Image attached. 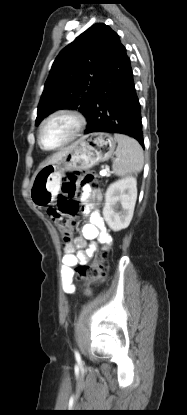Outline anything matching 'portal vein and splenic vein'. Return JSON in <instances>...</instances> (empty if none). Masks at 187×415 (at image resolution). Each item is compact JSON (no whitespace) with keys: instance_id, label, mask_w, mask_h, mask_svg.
<instances>
[{"instance_id":"portal-vein-and-splenic-vein-1","label":"portal vein and splenic vein","mask_w":187,"mask_h":415,"mask_svg":"<svg viewBox=\"0 0 187 415\" xmlns=\"http://www.w3.org/2000/svg\"><path fill=\"white\" fill-rule=\"evenodd\" d=\"M102 175H104V176L107 175V172H104Z\"/></svg>"}]
</instances>
